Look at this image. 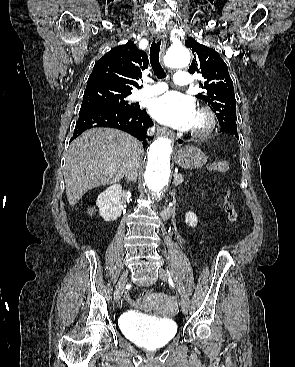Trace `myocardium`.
Instances as JSON below:
<instances>
[{"label":"myocardium","instance_id":"obj_1","mask_svg":"<svg viewBox=\"0 0 295 367\" xmlns=\"http://www.w3.org/2000/svg\"><path fill=\"white\" fill-rule=\"evenodd\" d=\"M196 116L202 121L200 127L190 128L189 134L193 138L204 139L209 137L216 128V117L208 108H200Z\"/></svg>","mask_w":295,"mask_h":367}]
</instances>
